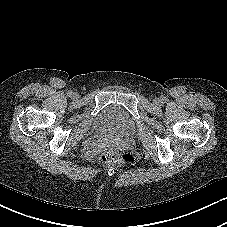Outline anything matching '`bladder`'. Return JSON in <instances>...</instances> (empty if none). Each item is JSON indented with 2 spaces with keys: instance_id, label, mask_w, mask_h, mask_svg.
<instances>
[{
  "instance_id": "bladder-1",
  "label": "bladder",
  "mask_w": 227,
  "mask_h": 227,
  "mask_svg": "<svg viewBox=\"0 0 227 227\" xmlns=\"http://www.w3.org/2000/svg\"><path fill=\"white\" fill-rule=\"evenodd\" d=\"M94 127L101 134L127 137L133 134L135 123L123 107L110 104L100 111L95 120Z\"/></svg>"
}]
</instances>
